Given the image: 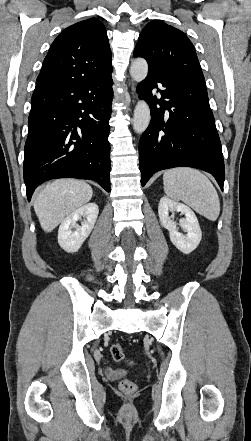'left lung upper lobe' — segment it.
<instances>
[{"mask_svg": "<svg viewBox=\"0 0 251 441\" xmlns=\"http://www.w3.org/2000/svg\"><path fill=\"white\" fill-rule=\"evenodd\" d=\"M134 56L145 58L149 71L183 75L205 83L195 48L189 38L179 29L162 21L154 20L145 26Z\"/></svg>", "mask_w": 251, "mask_h": 441, "instance_id": "5c2ea615", "label": "left lung upper lobe"}]
</instances>
